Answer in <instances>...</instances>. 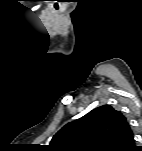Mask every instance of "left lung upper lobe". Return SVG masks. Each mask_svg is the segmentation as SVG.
I'll return each instance as SVG.
<instances>
[{
	"mask_svg": "<svg viewBox=\"0 0 142 151\" xmlns=\"http://www.w3.org/2000/svg\"><path fill=\"white\" fill-rule=\"evenodd\" d=\"M133 139L123 113L103 105L65 125L50 147L56 151H126Z\"/></svg>",
	"mask_w": 142,
	"mask_h": 151,
	"instance_id": "left-lung-upper-lobe-1",
	"label": "left lung upper lobe"
}]
</instances>
